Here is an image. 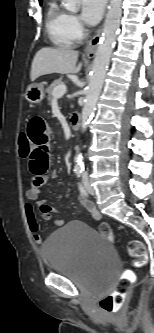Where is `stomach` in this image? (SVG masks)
<instances>
[{
	"instance_id": "stomach-1",
	"label": "stomach",
	"mask_w": 154,
	"mask_h": 333,
	"mask_svg": "<svg viewBox=\"0 0 154 333\" xmlns=\"http://www.w3.org/2000/svg\"><path fill=\"white\" fill-rule=\"evenodd\" d=\"M45 96L44 87L40 83H33L28 86L25 98L29 103L38 104L40 103Z\"/></svg>"
}]
</instances>
